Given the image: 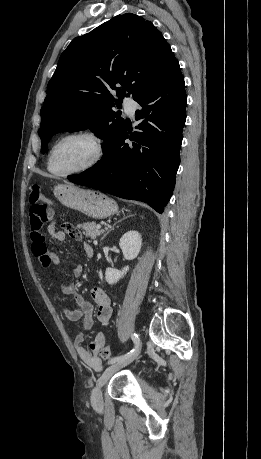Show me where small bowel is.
Instances as JSON below:
<instances>
[{
	"instance_id": "c3829d8e",
	"label": "small bowel",
	"mask_w": 261,
	"mask_h": 459,
	"mask_svg": "<svg viewBox=\"0 0 261 459\" xmlns=\"http://www.w3.org/2000/svg\"><path fill=\"white\" fill-rule=\"evenodd\" d=\"M47 230L48 234L57 242H64L67 234H69L66 230H57L53 222L48 225ZM69 236L71 235L69 234ZM79 238L80 236L74 239L78 240ZM30 239L32 253L39 260L42 267L46 270L56 268L59 265V259L56 254L48 250L46 237L37 238L35 234H30ZM82 250L86 258L93 256V249L89 244L84 243ZM82 271L83 267L80 264L72 268V273L75 277H79ZM61 291L64 295L72 296L76 305L74 309L65 308L63 310L67 320L71 322L81 321L83 329L88 330L93 325V314L95 312L98 321L102 325L107 326L109 324L112 317V307L110 299L103 289L93 288L90 290L92 302L84 297L74 283L62 284ZM84 342V332L78 333L74 338V347L79 358L89 367L100 370L102 362L98 356V351L106 343L105 333L99 331L91 341L89 349L85 347Z\"/></svg>"
}]
</instances>
